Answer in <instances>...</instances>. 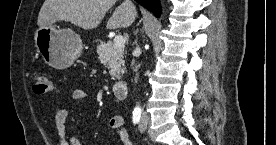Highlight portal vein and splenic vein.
<instances>
[{"label": "portal vein and splenic vein", "instance_id": "18ae733b", "mask_svg": "<svg viewBox=\"0 0 276 145\" xmlns=\"http://www.w3.org/2000/svg\"><path fill=\"white\" fill-rule=\"evenodd\" d=\"M124 44H125V39L120 36V35H117L114 37L113 39V46L114 47H124Z\"/></svg>", "mask_w": 276, "mask_h": 145}]
</instances>
